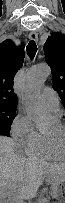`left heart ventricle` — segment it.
Masks as SVG:
<instances>
[{
  "mask_svg": "<svg viewBox=\"0 0 65 203\" xmlns=\"http://www.w3.org/2000/svg\"><path fill=\"white\" fill-rule=\"evenodd\" d=\"M59 134H61L59 126L55 130L49 133L50 136L59 135Z\"/></svg>",
  "mask_w": 65,
  "mask_h": 203,
  "instance_id": "obj_1",
  "label": "left heart ventricle"
}]
</instances>
